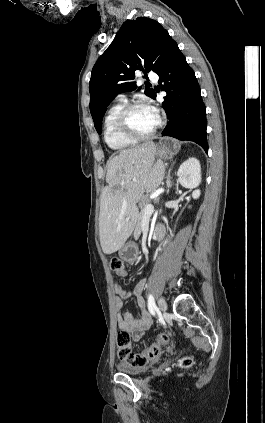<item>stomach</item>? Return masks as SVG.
<instances>
[{
	"label": "stomach",
	"instance_id": "obj_1",
	"mask_svg": "<svg viewBox=\"0 0 265 423\" xmlns=\"http://www.w3.org/2000/svg\"><path fill=\"white\" fill-rule=\"evenodd\" d=\"M175 152V145L168 139H165L158 149V154L162 159H170ZM119 256L126 262L133 263L139 258V249L135 242L129 241L119 250Z\"/></svg>",
	"mask_w": 265,
	"mask_h": 423
}]
</instances>
